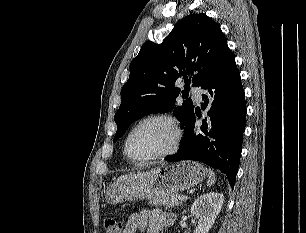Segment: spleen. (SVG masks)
Wrapping results in <instances>:
<instances>
[{"instance_id": "3e777b00", "label": "spleen", "mask_w": 306, "mask_h": 233, "mask_svg": "<svg viewBox=\"0 0 306 233\" xmlns=\"http://www.w3.org/2000/svg\"><path fill=\"white\" fill-rule=\"evenodd\" d=\"M216 181V177L214 172L209 169V176H208V181H207V186L211 187Z\"/></svg>"}]
</instances>
